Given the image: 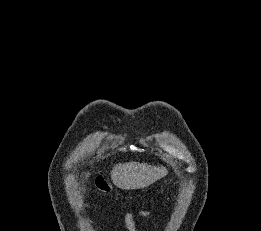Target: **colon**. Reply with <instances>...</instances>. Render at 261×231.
Instances as JSON below:
<instances>
[{
    "label": "colon",
    "mask_w": 261,
    "mask_h": 231,
    "mask_svg": "<svg viewBox=\"0 0 261 231\" xmlns=\"http://www.w3.org/2000/svg\"><path fill=\"white\" fill-rule=\"evenodd\" d=\"M102 191L104 193H109V187L107 185H105L103 188H102Z\"/></svg>",
    "instance_id": "obj_1"
}]
</instances>
